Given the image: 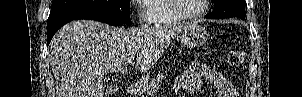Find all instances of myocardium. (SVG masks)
Listing matches in <instances>:
<instances>
[{
	"mask_svg": "<svg viewBox=\"0 0 302 97\" xmlns=\"http://www.w3.org/2000/svg\"><path fill=\"white\" fill-rule=\"evenodd\" d=\"M177 0H170L169 1V6H170V10L171 12L176 16V18L180 21H191V20H195L198 19L202 16H204L208 9H209V0H202L203 2V6L202 9L194 14L191 15H186L183 14L179 11L177 4H176Z\"/></svg>",
	"mask_w": 302,
	"mask_h": 97,
	"instance_id": "obj_1",
	"label": "myocardium"
}]
</instances>
